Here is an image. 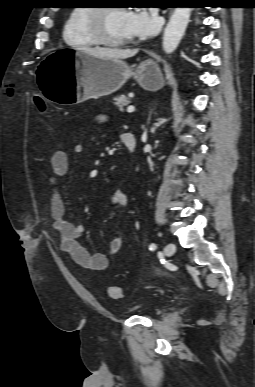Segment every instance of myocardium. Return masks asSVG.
Wrapping results in <instances>:
<instances>
[{"label": "myocardium", "mask_w": 255, "mask_h": 387, "mask_svg": "<svg viewBox=\"0 0 255 387\" xmlns=\"http://www.w3.org/2000/svg\"><path fill=\"white\" fill-rule=\"evenodd\" d=\"M114 9H123L113 6H100L90 9L88 15V29L92 37L98 44L118 47L126 45L130 42V39H113L111 38L105 28V18L108 12ZM125 10V9H123Z\"/></svg>", "instance_id": "myocardium-1"}]
</instances>
